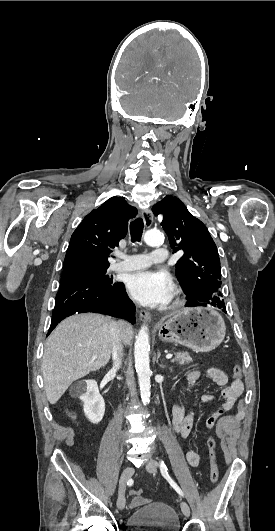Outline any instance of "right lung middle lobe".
Segmentation results:
<instances>
[{
	"instance_id": "1",
	"label": "right lung middle lobe",
	"mask_w": 275,
	"mask_h": 531,
	"mask_svg": "<svg viewBox=\"0 0 275 531\" xmlns=\"http://www.w3.org/2000/svg\"><path fill=\"white\" fill-rule=\"evenodd\" d=\"M109 266H92L84 265L71 268L69 270H64L61 280L70 279V278H85L90 279L94 282L100 284H112V276L106 275V271Z\"/></svg>"
}]
</instances>
